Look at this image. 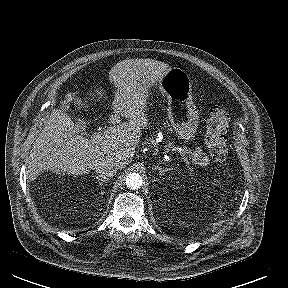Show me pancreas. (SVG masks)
<instances>
[{
  "mask_svg": "<svg viewBox=\"0 0 288 288\" xmlns=\"http://www.w3.org/2000/svg\"><path fill=\"white\" fill-rule=\"evenodd\" d=\"M168 148L174 149L176 147L174 144L169 143ZM182 150L185 154L189 155V157L192 159L193 162H195L197 165L201 167H205L210 163L209 157L205 153H203L200 148H196L193 152L187 149V147H184V149Z\"/></svg>",
  "mask_w": 288,
  "mask_h": 288,
  "instance_id": "pancreas-1",
  "label": "pancreas"
}]
</instances>
